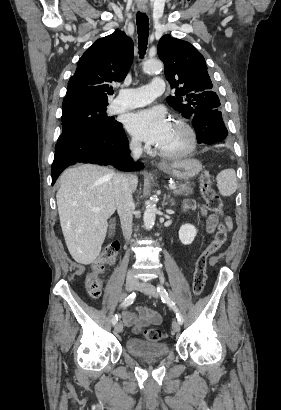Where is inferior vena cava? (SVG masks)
<instances>
[{
  "instance_id": "obj_1",
  "label": "inferior vena cava",
  "mask_w": 281,
  "mask_h": 410,
  "mask_svg": "<svg viewBox=\"0 0 281 410\" xmlns=\"http://www.w3.org/2000/svg\"><path fill=\"white\" fill-rule=\"evenodd\" d=\"M130 150L132 151V157L135 160L138 159L142 154L141 143L133 140L130 143ZM113 190L123 235L126 240H130L132 235L134 209L130 186V176L126 174H116L113 178ZM127 279L136 280V276L133 272L129 271L127 274Z\"/></svg>"
}]
</instances>
